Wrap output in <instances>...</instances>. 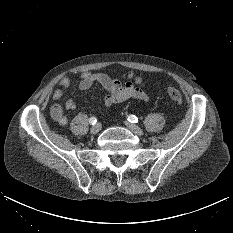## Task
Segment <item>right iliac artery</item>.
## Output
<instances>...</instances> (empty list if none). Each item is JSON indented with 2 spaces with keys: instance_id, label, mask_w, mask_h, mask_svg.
<instances>
[{
  "instance_id": "obj_1",
  "label": "right iliac artery",
  "mask_w": 233,
  "mask_h": 233,
  "mask_svg": "<svg viewBox=\"0 0 233 233\" xmlns=\"http://www.w3.org/2000/svg\"><path fill=\"white\" fill-rule=\"evenodd\" d=\"M96 122H97V119L95 117H91L89 119V123L92 124V125H94Z\"/></svg>"
}]
</instances>
